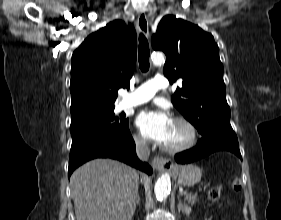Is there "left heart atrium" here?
Here are the masks:
<instances>
[{"label":"left heart atrium","instance_id":"obj_1","mask_svg":"<svg viewBox=\"0 0 281 220\" xmlns=\"http://www.w3.org/2000/svg\"><path fill=\"white\" fill-rule=\"evenodd\" d=\"M172 123V119L164 111H143L136 120L142 134L158 143H164L167 140Z\"/></svg>","mask_w":281,"mask_h":220}]
</instances>
